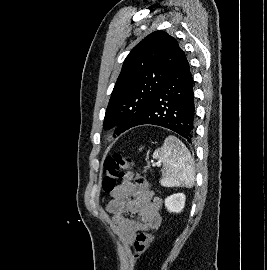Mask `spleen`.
<instances>
[{"label": "spleen", "mask_w": 267, "mask_h": 270, "mask_svg": "<svg viewBox=\"0 0 267 270\" xmlns=\"http://www.w3.org/2000/svg\"><path fill=\"white\" fill-rule=\"evenodd\" d=\"M153 158L163 163L162 184L167 187H192L195 183L193 159L186 146L175 136H168Z\"/></svg>", "instance_id": "3e777b00"}]
</instances>
